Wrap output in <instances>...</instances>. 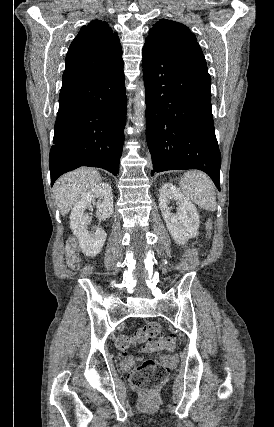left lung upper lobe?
Returning a JSON list of instances; mask_svg holds the SVG:
<instances>
[{
    "instance_id": "left-lung-upper-lobe-1",
    "label": "left lung upper lobe",
    "mask_w": 274,
    "mask_h": 427,
    "mask_svg": "<svg viewBox=\"0 0 274 427\" xmlns=\"http://www.w3.org/2000/svg\"><path fill=\"white\" fill-rule=\"evenodd\" d=\"M146 41L160 46L169 55L207 70L206 60L195 35L181 23L161 19L149 30Z\"/></svg>"
}]
</instances>
